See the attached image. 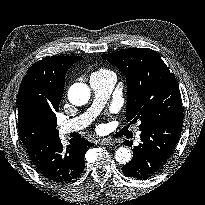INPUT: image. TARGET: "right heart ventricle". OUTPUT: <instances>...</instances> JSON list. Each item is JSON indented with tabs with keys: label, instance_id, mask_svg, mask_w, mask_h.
Segmentation results:
<instances>
[{
	"label": "right heart ventricle",
	"instance_id": "obj_1",
	"mask_svg": "<svg viewBox=\"0 0 205 205\" xmlns=\"http://www.w3.org/2000/svg\"><path fill=\"white\" fill-rule=\"evenodd\" d=\"M98 72H107V70H99L96 73H98Z\"/></svg>",
	"mask_w": 205,
	"mask_h": 205
}]
</instances>
